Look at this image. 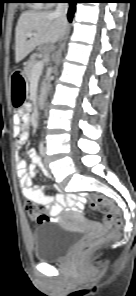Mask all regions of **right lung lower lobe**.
<instances>
[{"label":"right lung lower lobe","instance_id":"1","mask_svg":"<svg viewBox=\"0 0 136 296\" xmlns=\"http://www.w3.org/2000/svg\"><path fill=\"white\" fill-rule=\"evenodd\" d=\"M64 1H66V2H68L70 4L67 16H68V20L72 21V17H73L74 12H75V5L79 1L78 0H64Z\"/></svg>","mask_w":136,"mask_h":296}]
</instances>
